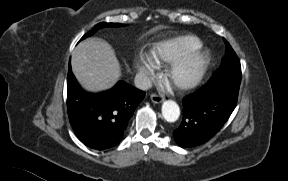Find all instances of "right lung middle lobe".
<instances>
[{
	"instance_id": "1",
	"label": "right lung middle lobe",
	"mask_w": 288,
	"mask_h": 181,
	"mask_svg": "<svg viewBox=\"0 0 288 181\" xmlns=\"http://www.w3.org/2000/svg\"><path fill=\"white\" fill-rule=\"evenodd\" d=\"M119 26H123V25L119 24V23H106V22L99 23V24L95 25L92 30H90L88 33H86L82 37V39H85L86 37H89V36L93 35L100 28H103V27H119Z\"/></svg>"
}]
</instances>
